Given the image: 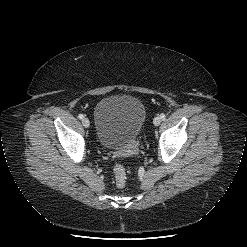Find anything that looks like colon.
<instances>
[{"label":"colon","instance_id":"5ec220e1","mask_svg":"<svg viewBox=\"0 0 247 247\" xmlns=\"http://www.w3.org/2000/svg\"><path fill=\"white\" fill-rule=\"evenodd\" d=\"M113 174L117 187L123 188L127 179L125 167L122 164H115L113 167Z\"/></svg>","mask_w":247,"mask_h":247}]
</instances>
